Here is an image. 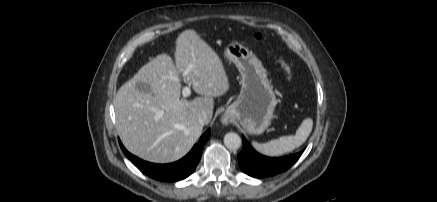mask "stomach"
Returning <instances> with one entry per match:
<instances>
[{
    "instance_id": "0dacf381",
    "label": "stomach",
    "mask_w": 437,
    "mask_h": 202,
    "mask_svg": "<svg viewBox=\"0 0 437 202\" xmlns=\"http://www.w3.org/2000/svg\"><path fill=\"white\" fill-rule=\"evenodd\" d=\"M224 56L241 74V91L226 108L223 118L237 120L249 134H262L271 124L277 105L266 69L251 51L237 42L225 48Z\"/></svg>"
}]
</instances>
